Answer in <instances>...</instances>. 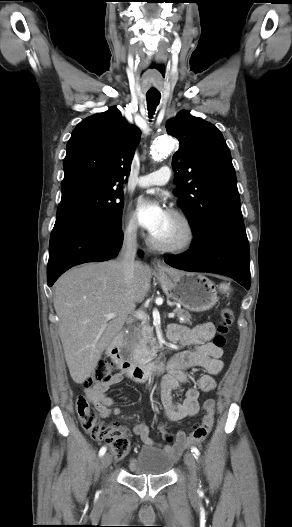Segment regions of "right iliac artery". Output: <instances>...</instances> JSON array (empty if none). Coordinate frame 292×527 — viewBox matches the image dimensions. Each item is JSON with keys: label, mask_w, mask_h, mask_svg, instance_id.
<instances>
[{"label": "right iliac artery", "mask_w": 292, "mask_h": 527, "mask_svg": "<svg viewBox=\"0 0 292 527\" xmlns=\"http://www.w3.org/2000/svg\"><path fill=\"white\" fill-rule=\"evenodd\" d=\"M105 452H106V447L103 446V447L100 449V451H99V456H103V455L105 454Z\"/></svg>", "instance_id": "obj_1"}]
</instances>
